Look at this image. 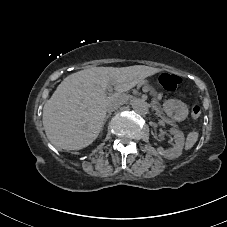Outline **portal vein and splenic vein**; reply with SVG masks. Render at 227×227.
I'll return each instance as SVG.
<instances>
[{"instance_id":"1","label":"portal vein and splenic vein","mask_w":227,"mask_h":227,"mask_svg":"<svg viewBox=\"0 0 227 227\" xmlns=\"http://www.w3.org/2000/svg\"><path fill=\"white\" fill-rule=\"evenodd\" d=\"M141 88L143 91H146V92L148 91L146 86H142Z\"/></svg>"}]
</instances>
